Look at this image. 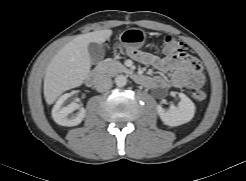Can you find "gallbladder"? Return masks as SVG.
I'll return each instance as SVG.
<instances>
[{
    "mask_svg": "<svg viewBox=\"0 0 246 181\" xmlns=\"http://www.w3.org/2000/svg\"><path fill=\"white\" fill-rule=\"evenodd\" d=\"M88 52L92 63L96 64L104 57V49L95 43L88 45Z\"/></svg>",
    "mask_w": 246,
    "mask_h": 181,
    "instance_id": "obj_1",
    "label": "gallbladder"
}]
</instances>
